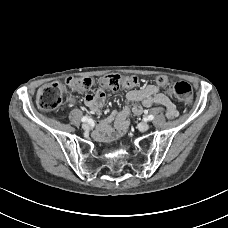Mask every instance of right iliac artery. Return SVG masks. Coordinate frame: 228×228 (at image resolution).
Instances as JSON below:
<instances>
[{"instance_id": "1", "label": "right iliac artery", "mask_w": 228, "mask_h": 228, "mask_svg": "<svg viewBox=\"0 0 228 228\" xmlns=\"http://www.w3.org/2000/svg\"><path fill=\"white\" fill-rule=\"evenodd\" d=\"M88 120H89V118L87 116H84V117L81 118L82 122H87Z\"/></svg>"}]
</instances>
